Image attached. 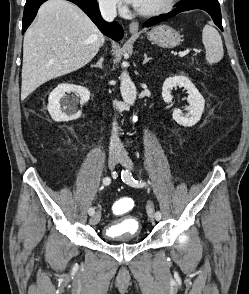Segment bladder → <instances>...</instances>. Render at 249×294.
Listing matches in <instances>:
<instances>
[{
	"label": "bladder",
	"instance_id": "bladder-1",
	"mask_svg": "<svg viewBox=\"0 0 249 294\" xmlns=\"http://www.w3.org/2000/svg\"><path fill=\"white\" fill-rule=\"evenodd\" d=\"M142 227L135 219L125 217L121 220L111 223L104 233L107 240L125 238L136 240L139 238Z\"/></svg>",
	"mask_w": 249,
	"mask_h": 294
}]
</instances>
